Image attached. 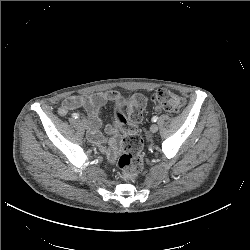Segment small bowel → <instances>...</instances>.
Here are the masks:
<instances>
[{"label": "small bowel", "mask_w": 250, "mask_h": 250, "mask_svg": "<svg viewBox=\"0 0 250 250\" xmlns=\"http://www.w3.org/2000/svg\"><path fill=\"white\" fill-rule=\"evenodd\" d=\"M108 101H112L117 105H120L121 95L115 91L98 92L87 95H71L63 100L61 106L58 108V114L61 116H65L75 109H85V111L89 115V131L87 133L89 141L98 146H101L107 157L110 160H113L116 156V150L105 149L102 146L104 139L100 132V111L102 106ZM108 131H111V127H108Z\"/></svg>", "instance_id": "obj_1"}]
</instances>
